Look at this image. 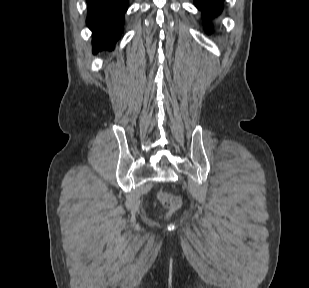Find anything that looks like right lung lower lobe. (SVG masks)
<instances>
[{
	"label": "right lung lower lobe",
	"mask_w": 309,
	"mask_h": 288,
	"mask_svg": "<svg viewBox=\"0 0 309 288\" xmlns=\"http://www.w3.org/2000/svg\"><path fill=\"white\" fill-rule=\"evenodd\" d=\"M87 25L93 33V53L112 49L123 29L128 0H86Z\"/></svg>",
	"instance_id": "98d812e1"
}]
</instances>
